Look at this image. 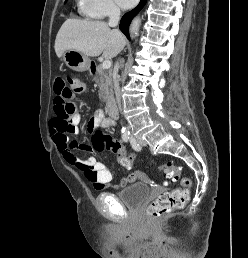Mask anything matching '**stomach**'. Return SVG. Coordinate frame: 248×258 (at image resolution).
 I'll return each instance as SVG.
<instances>
[{
    "label": "stomach",
    "instance_id": "1",
    "mask_svg": "<svg viewBox=\"0 0 248 258\" xmlns=\"http://www.w3.org/2000/svg\"><path fill=\"white\" fill-rule=\"evenodd\" d=\"M65 64L74 71L83 72L90 69V59L81 52L67 50L63 53Z\"/></svg>",
    "mask_w": 248,
    "mask_h": 258
}]
</instances>
